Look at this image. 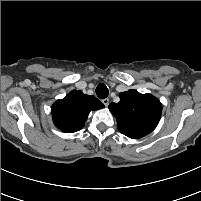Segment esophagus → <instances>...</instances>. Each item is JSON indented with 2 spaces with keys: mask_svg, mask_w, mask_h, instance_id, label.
I'll list each match as a JSON object with an SVG mask.
<instances>
[{
  "mask_svg": "<svg viewBox=\"0 0 201 201\" xmlns=\"http://www.w3.org/2000/svg\"><path fill=\"white\" fill-rule=\"evenodd\" d=\"M102 102L106 107L109 105V99L108 98L103 99Z\"/></svg>",
  "mask_w": 201,
  "mask_h": 201,
  "instance_id": "34e87169",
  "label": "esophagus"
}]
</instances>
